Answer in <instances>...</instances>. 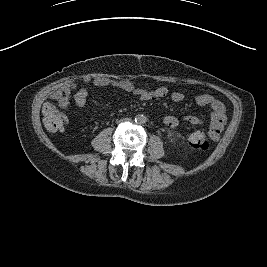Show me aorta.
<instances>
[{"instance_id":"obj_1","label":"aorta","mask_w":267,"mask_h":267,"mask_svg":"<svg viewBox=\"0 0 267 267\" xmlns=\"http://www.w3.org/2000/svg\"><path fill=\"white\" fill-rule=\"evenodd\" d=\"M135 121L138 124H144L146 122V117L144 115H137Z\"/></svg>"}]
</instances>
